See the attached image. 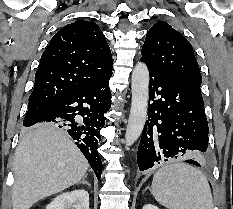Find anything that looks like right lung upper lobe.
<instances>
[{
  "label": "right lung upper lobe",
  "instance_id": "right-lung-upper-lobe-1",
  "mask_svg": "<svg viewBox=\"0 0 233 209\" xmlns=\"http://www.w3.org/2000/svg\"><path fill=\"white\" fill-rule=\"evenodd\" d=\"M110 48L93 21H75L60 29L41 56L28 103L52 99L87 87L112 73Z\"/></svg>",
  "mask_w": 233,
  "mask_h": 209
}]
</instances>
